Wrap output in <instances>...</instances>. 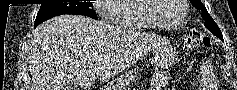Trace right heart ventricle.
<instances>
[{
  "label": "right heart ventricle",
  "instance_id": "right-heart-ventricle-1",
  "mask_svg": "<svg viewBox=\"0 0 237 90\" xmlns=\"http://www.w3.org/2000/svg\"><path fill=\"white\" fill-rule=\"evenodd\" d=\"M138 2H145L144 0H120L116 4H111V7L107 9L110 19L109 24H116L115 28H147L152 29L149 26V20H144V17L140 15L143 11H140Z\"/></svg>",
  "mask_w": 237,
  "mask_h": 90
}]
</instances>
